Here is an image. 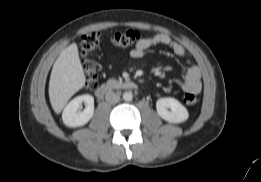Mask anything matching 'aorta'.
Instances as JSON below:
<instances>
[{
	"label": "aorta",
	"instance_id": "1",
	"mask_svg": "<svg viewBox=\"0 0 261 182\" xmlns=\"http://www.w3.org/2000/svg\"><path fill=\"white\" fill-rule=\"evenodd\" d=\"M123 99L125 101H131L133 99V94L132 92L128 91V92H124L123 93Z\"/></svg>",
	"mask_w": 261,
	"mask_h": 182
}]
</instances>
